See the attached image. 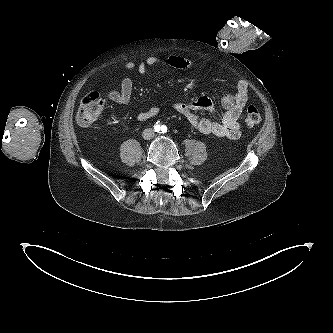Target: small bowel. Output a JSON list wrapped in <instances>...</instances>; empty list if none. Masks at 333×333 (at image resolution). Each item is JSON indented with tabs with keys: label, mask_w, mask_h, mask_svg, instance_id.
<instances>
[{
	"label": "small bowel",
	"mask_w": 333,
	"mask_h": 333,
	"mask_svg": "<svg viewBox=\"0 0 333 333\" xmlns=\"http://www.w3.org/2000/svg\"><path fill=\"white\" fill-rule=\"evenodd\" d=\"M159 64H165L177 69L189 68L192 62L188 59L178 56H170L166 59L158 57H148L140 62H127V70H138L140 73H146L150 68ZM133 81L130 77H124L118 90L108 92L107 97L110 101L118 104H127L132 97ZM249 97L248 85L244 81H239L236 86V92L226 95L221 99L224 108L220 121H212L200 117L198 111L215 112V104L208 96H200L187 102H172L171 107L183 115L200 133L205 135H214L224 137L230 140H236L240 137V126L238 119L246 105ZM161 111L159 106H153L137 115V120H148Z\"/></svg>",
	"instance_id": "small-bowel-1"
}]
</instances>
